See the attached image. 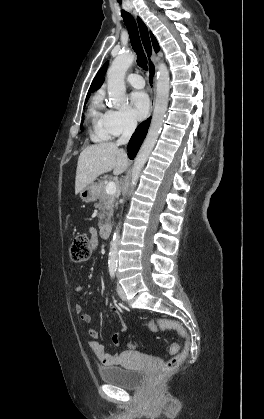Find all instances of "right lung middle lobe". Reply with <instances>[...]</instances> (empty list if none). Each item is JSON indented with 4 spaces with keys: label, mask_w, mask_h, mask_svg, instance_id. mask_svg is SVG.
<instances>
[{
    "label": "right lung middle lobe",
    "mask_w": 264,
    "mask_h": 419,
    "mask_svg": "<svg viewBox=\"0 0 264 419\" xmlns=\"http://www.w3.org/2000/svg\"><path fill=\"white\" fill-rule=\"evenodd\" d=\"M88 100V98H86V101ZM83 124V120H82V122H81V125ZM81 130H83V128L81 127Z\"/></svg>",
    "instance_id": "obj_1"
}]
</instances>
